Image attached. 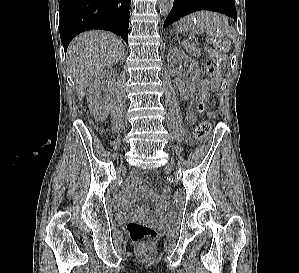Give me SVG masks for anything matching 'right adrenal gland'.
Returning a JSON list of instances; mask_svg holds the SVG:
<instances>
[{"label":"right adrenal gland","mask_w":299,"mask_h":273,"mask_svg":"<svg viewBox=\"0 0 299 273\" xmlns=\"http://www.w3.org/2000/svg\"><path fill=\"white\" fill-rule=\"evenodd\" d=\"M123 55H124V53H123ZM123 55H122V57L119 59L121 62H123Z\"/></svg>","instance_id":"right-adrenal-gland-1"}]
</instances>
